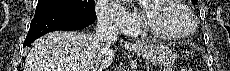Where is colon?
Returning <instances> with one entry per match:
<instances>
[{
  "label": "colon",
  "mask_w": 230,
  "mask_h": 71,
  "mask_svg": "<svg viewBox=\"0 0 230 71\" xmlns=\"http://www.w3.org/2000/svg\"><path fill=\"white\" fill-rule=\"evenodd\" d=\"M183 71H189L188 69H183Z\"/></svg>",
  "instance_id": "colon-1"
}]
</instances>
